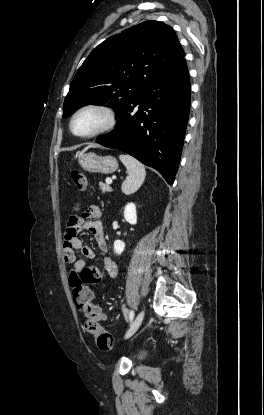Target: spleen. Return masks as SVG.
<instances>
[{"mask_svg": "<svg viewBox=\"0 0 264 415\" xmlns=\"http://www.w3.org/2000/svg\"><path fill=\"white\" fill-rule=\"evenodd\" d=\"M120 160L126 166L128 176L123 181L121 189L126 195L136 192L144 182L146 171L145 167L138 160L130 155H120Z\"/></svg>", "mask_w": 264, "mask_h": 415, "instance_id": "obj_1", "label": "spleen"}]
</instances>
